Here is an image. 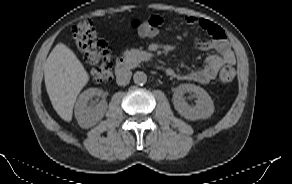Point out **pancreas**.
I'll use <instances>...</instances> for the list:
<instances>
[{
    "instance_id": "1",
    "label": "pancreas",
    "mask_w": 292,
    "mask_h": 184,
    "mask_svg": "<svg viewBox=\"0 0 292 184\" xmlns=\"http://www.w3.org/2000/svg\"><path fill=\"white\" fill-rule=\"evenodd\" d=\"M124 58L128 67H135L140 62L139 53L135 49L125 51Z\"/></svg>"
}]
</instances>
